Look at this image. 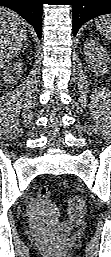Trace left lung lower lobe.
<instances>
[{
  "mask_svg": "<svg viewBox=\"0 0 111 257\" xmlns=\"http://www.w3.org/2000/svg\"><path fill=\"white\" fill-rule=\"evenodd\" d=\"M74 36L85 22L105 13H111V0H74L73 1Z\"/></svg>",
  "mask_w": 111,
  "mask_h": 257,
  "instance_id": "obj_1",
  "label": "left lung lower lobe"
}]
</instances>
